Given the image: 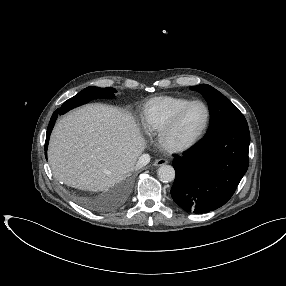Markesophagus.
Listing matches in <instances>:
<instances>
[{
	"label": "esophagus",
	"instance_id": "1",
	"mask_svg": "<svg viewBox=\"0 0 286 286\" xmlns=\"http://www.w3.org/2000/svg\"><path fill=\"white\" fill-rule=\"evenodd\" d=\"M168 163V160L166 159H157L154 162V166H162Z\"/></svg>",
	"mask_w": 286,
	"mask_h": 286
}]
</instances>
